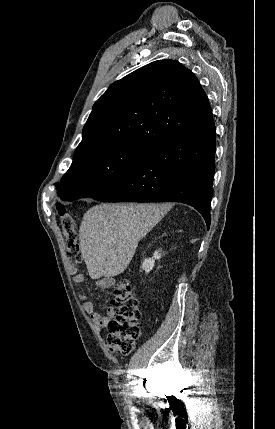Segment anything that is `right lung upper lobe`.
<instances>
[{
  "label": "right lung upper lobe",
  "mask_w": 275,
  "mask_h": 429,
  "mask_svg": "<svg viewBox=\"0 0 275 429\" xmlns=\"http://www.w3.org/2000/svg\"><path fill=\"white\" fill-rule=\"evenodd\" d=\"M212 124L208 98L195 75L178 61H155L111 84L96 101L73 161L120 144L151 152Z\"/></svg>",
  "instance_id": "1"
}]
</instances>
